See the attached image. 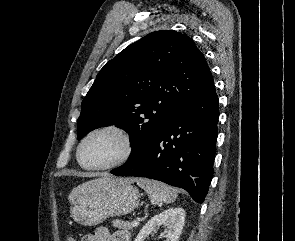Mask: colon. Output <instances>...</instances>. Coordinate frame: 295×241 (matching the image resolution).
Masks as SVG:
<instances>
[{
	"instance_id": "1",
	"label": "colon",
	"mask_w": 295,
	"mask_h": 241,
	"mask_svg": "<svg viewBox=\"0 0 295 241\" xmlns=\"http://www.w3.org/2000/svg\"><path fill=\"white\" fill-rule=\"evenodd\" d=\"M67 241H75L73 238H69Z\"/></svg>"
}]
</instances>
